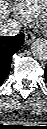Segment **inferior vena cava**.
<instances>
[{
    "instance_id": "inferior-vena-cava-1",
    "label": "inferior vena cava",
    "mask_w": 47,
    "mask_h": 129,
    "mask_svg": "<svg viewBox=\"0 0 47 129\" xmlns=\"http://www.w3.org/2000/svg\"><path fill=\"white\" fill-rule=\"evenodd\" d=\"M21 24L15 19H8L0 24V34L2 36H15L20 33Z\"/></svg>"
}]
</instances>
